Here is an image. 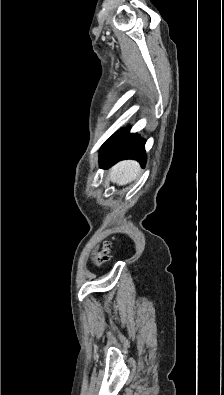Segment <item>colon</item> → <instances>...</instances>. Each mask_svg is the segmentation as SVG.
<instances>
[{
    "mask_svg": "<svg viewBox=\"0 0 224 395\" xmlns=\"http://www.w3.org/2000/svg\"><path fill=\"white\" fill-rule=\"evenodd\" d=\"M109 260V245H105L100 250L96 251L93 257V261L97 265H101Z\"/></svg>",
    "mask_w": 224,
    "mask_h": 395,
    "instance_id": "obj_1",
    "label": "colon"
}]
</instances>
